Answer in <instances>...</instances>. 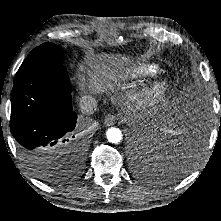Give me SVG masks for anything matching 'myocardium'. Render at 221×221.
<instances>
[{
  "label": "myocardium",
  "mask_w": 221,
  "mask_h": 221,
  "mask_svg": "<svg viewBox=\"0 0 221 221\" xmlns=\"http://www.w3.org/2000/svg\"><path fill=\"white\" fill-rule=\"evenodd\" d=\"M172 84L167 79H158L144 91L131 97V103L143 110H154L169 96Z\"/></svg>",
  "instance_id": "f54148a6"
}]
</instances>
